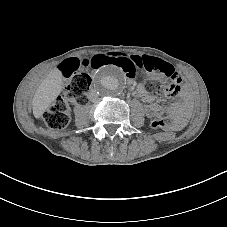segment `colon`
Returning a JSON list of instances; mask_svg holds the SVG:
<instances>
[{
	"mask_svg": "<svg viewBox=\"0 0 227 227\" xmlns=\"http://www.w3.org/2000/svg\"><path fill=\"white\" fill-rule=\"evenodd\" d=\"M103 65H113L121 69L127 77L134 78L142 73L151 76L146 82V90L150 93L164 91L176 94L181 88V79L173 66L152 56H128L123 53L99 54L92 58L68 59L62 63L60 70L64 77L63 92L60 97L45 111L43 120L54 130L66 128L70 123L69 102L85 104L90 87L88 70ZM157 129L169 130L173 127V119L163 115L152 122Z\"/></svg>",
	"mask_w": 227,
	"mask_h": 227,
	"instance_id": "5ec220e1",
	"label": "colon"
}]
</instances>
